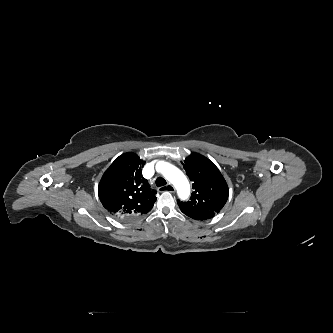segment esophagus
<instances>
[{
  "label": "esophagus",
  "mask_w": 333,
  "mask_h": 333,
  "mask_svg": "<svg viewBox=\"0 0 333 333\" xmlns=\"http://www.w3.org/2000/svg\"><path fill=\"white\" fill-rule=\"evenodd\" d=\"M161 190H164V191H168V192H174L175 191V188L172 184H167L166 186L164 187H161L160 188Z\"/></svg>",
  "instance_id": "esophagus-1"
}]
</instances>
